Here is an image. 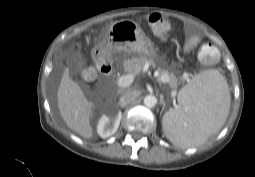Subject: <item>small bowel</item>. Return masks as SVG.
Here are the masks:
<instances>
[{
    "instance_id": "c3829d8e",
    "label": "small bowel",
    "mask_w": 255,
    "mask_h": 177,
    "mask_svg": "<svg viewBox=\"0 0 255 177\" xmlns=\"http://www.w3.org/2000/svg\"><path fill=\"white\" fill-rule=\"evenodd\" d=\"M200 40V36H191L184 45V51L189 52Z\"/></svg>"
}]
</instances>
